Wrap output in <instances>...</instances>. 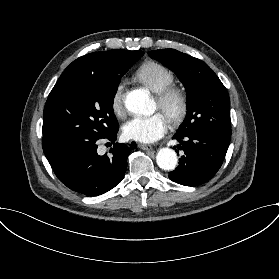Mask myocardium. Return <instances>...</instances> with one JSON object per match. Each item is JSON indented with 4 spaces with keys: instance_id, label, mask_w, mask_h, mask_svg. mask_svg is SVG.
I'll use <instances>...</instances> for the list:
<instances>
[{
    "instance_id": "f54148a6",
    "label": "myocardium",
    "mask_w": 279,
    "mask_h": 279,
    "mask_svg": "<svg viewBox=\"0 0 279 279\" xmlns=\"http://www.w3.org/2000/svg\"><path fill=\"white\" fill-rule=\"evenodd\" d=\"M160 109L166 111V118L172 126H178L188 111V98L183 88L171 85L156 95Z\"/></svg>"
}]
</instances>
